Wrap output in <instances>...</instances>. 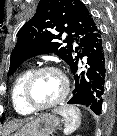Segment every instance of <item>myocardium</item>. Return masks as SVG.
<instances>
[{"mask_svg": "<svg viewBox=\"0 0 117 136\" xmlns=\"http://www.w3.org/2000/svg\"><path fill=\"white\" fill-rule=\"evenodd\" d=\"M43 72L56 73L63 81V91H62L61 95L56 100H54L48 104H45V105H37L32 100L31 90H32V85H33L35 78ZM69 90H70L69 80H68L67 76L60 69H58L57 67H54V66H41V67H38V68L34 69L33 71H31V73L27 77L25 84H24V89H23V99H24L25 104L33 112L45 111V110H49V109L59 105L60 103H62L65 100V98L67 97Z\"/></svg>", "mask_w": 117, "mask_h": 136, "instance_id": "f54148a6", "label": "myocardium"}]
</instances>
